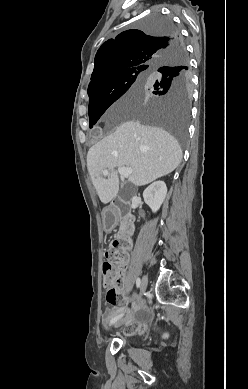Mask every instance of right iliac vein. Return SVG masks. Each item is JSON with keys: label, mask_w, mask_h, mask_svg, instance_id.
Returning <instances> with one entry per match:
<instances>
[{"label": "right iliac vein", "mask_w": 248, "mask_h": 389, "mask_svg": "<svg viewBox=\"0 0 248 389\" xmlns=\"http://www.w3.org/2000/svg\"><path fill=\"white\" fill-rule=\"evenodd\" d=\"M147 283H148V279L146 276L143 277L142 279V282L140 284V290H141V293H143L145 290H146V287H147ZM133 312L131 313H128L125 317L123 318H120L118 321H116L115 323V327H119L121 326L122 324H124L125 322H127L131 316H132Z\"/></svg>", "instance_id": "right-iliac-vein-1"}]
</instances>
